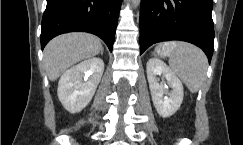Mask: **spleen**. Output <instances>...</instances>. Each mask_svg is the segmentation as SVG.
Returning a JSON list of instances; mask_svg holds the SVG:
<instances>
[{"mask_svg": "<svg viewBox=\"0 0 243 145\" xmlns=\"http://www.w3.org/2000/svg\"><path fill=\"white\" fill-rule=\"evenodd\" d=\"M169 65L172 71L185 83L192 93H196L206 79L208 66L204 52L190 43L172 44Z\"/></svg>", "mask_w": 243, "mask_h": 145, "instance_id": "spleen-1", "label": "spleen"}]
</instances>
